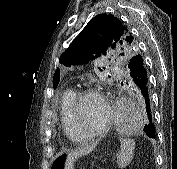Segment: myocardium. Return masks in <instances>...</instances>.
<instances>
[{
    "mask_svg": "<svg viewBox=\"0 0 177 169\" xmlns=\"http://www.w3.org/2000/svg\"><path fill=\"white\" fill-rule=\"evenodd\" d=\"M89 96H94V97H97L98 99L101 100V102L103 103V105L106 109V118H105V121H104L102 127L99 128L98 130H96L95 132H92L87 135H80L78 133V110H79V106H80L81 102L83 101V99L86 97H89ZM70 117H71L73 130L75 133V139L77 141H81V140H85V139L94 138V137H97V136H100V135H103L104 133H106L111 126V122L113 119V113H112V108H111L110 102L104 93H102L100 90H98L96 88L86 87V88L80 89L76 93V97H75L74 102L71 106Z\"/></svg>",
    "mask_w": 177,
    "mask_h": 169,
    "instance_id": "1",
    "label": "myocardium"
}]
</instances>
